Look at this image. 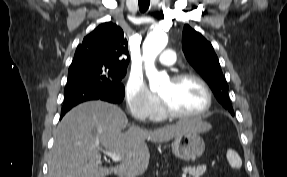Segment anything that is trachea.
Here are the masks:
<instances>
[{
  "instance_id": "1",
  "label": "trachea",
  "mask_w": 287,
  "mask_h": 177,
  "mask_svg": "<svg viewBox=\"0 0 287 177\" xmlns=\"http://www.w3.org/2000/svg\"><path fill=\"white\" fill-rule=\"evenodd\" d=\"M139 8L141 12H145L150 5V0H138Z\"/></svg>"
}]
</instances>
